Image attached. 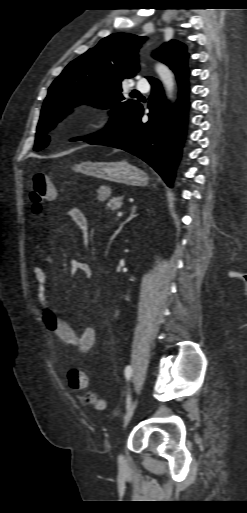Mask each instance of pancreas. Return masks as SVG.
<instances>
[{"label": "pancreas", "instance_id": "1", "mask_svg": "<svg viewBox=\"0 0 247 513\" xmlns=\"http://www.w3.org/2000/svg\"><path fill=\"white\" fill-rule=\"evenodd\" d=\"M122 206V202L120 200V198L118 197H113L112 199L109 200L108 204H107V208H109L112 213L114 214L115 212H117Z\"/></svg>", "mask_w": 247, "mask_h": 513}]
</instances>
